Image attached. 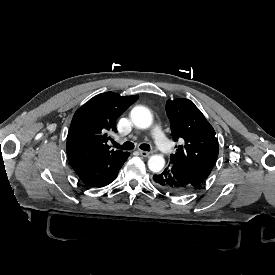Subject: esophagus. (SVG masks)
<instances>
[{
	"label": "esophagus",
	"mask_w": 275,
	"mask_h": 275,
	"mask_svg": "<svg viewBox=\"0 0 275 275\" xmlns=\"http://www.w3.org/2000/svg\"><path fill=\"white\" fill-rule=\"evenodd\" d=\"M139 153L143 157H148L149 156V152H147V151L139 150Z\"/></svg>",
	"instance_id": "obj_1"
}]
</instances>
